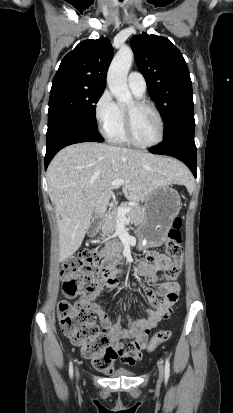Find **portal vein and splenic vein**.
Returning a JSON list of instances; mask_svg holds the SVG:
<instances>
[{"mask_svg":"<svg viewBox=\"0 0 233 413\" xmlns=\"http://www.w3.org/2000/svg\"><path fill=\"white\" fill-rule=\"evenodd\" d=\"M124 183H125L124 180L117 179V180H114V181L111 182L110 187H111V188H117V187H119V186L124 185ZM129 211H130L129 208L123 209V208H121V207H118V208H117L118 218H119V219H122V220H127L126 217H125V215H126V213H128Z\"/></svg>","mask_w":233,"mask_h":413,"instance_id":"obj_1","label":"portal vein and splenic vein"}]
</instances>
